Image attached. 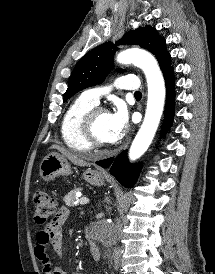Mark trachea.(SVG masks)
<instances>
[{
    "mask_svg": "<svg viewBox=\"0 0 215 274\" xmlns=\"http://www.w3.org/2000/svg\"><path fill=\"white\" fill-rule=\"evenodd\" d=\"M135 97H138V98L142 97V93L139 91L135 92Z\"/></svg>",
    "mask_w": 215,
    "mask_h": 274,
    "instance_id": "obj_1",
    "label": "trachea"
}]
</instances>
